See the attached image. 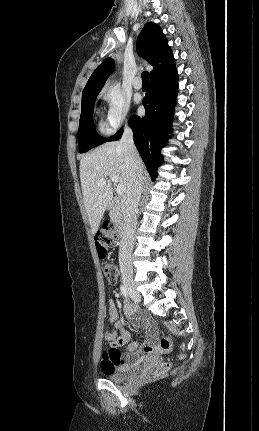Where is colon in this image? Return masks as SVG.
Listing matches in <instances>:
<instances>
[{
	"mask_svg": "<svg viewBox=\"0 0 259 431\" xmlns=\"http://www.w3.org/2000/svg\"><path fill=\"white\" fill-rule=\"evenodd\" d=\"M117 243V236L115 226L107 222L105 223L100 230L96 233L95 236V245L98 256L100 259H105L110 252L113 250ZM104 274L109 283H115L118 277V268L114 264H106L104 266ZM171 339L169 337H164L160 340L159 344L152 346H145V352L157 351V352H165L168 351L171 347ZM169 368L168 364H162L156 369L153 370L154 376L162 375Z\"/></svg>",
	"mask_w": 259,
	"mask_h": 431,
	"instance_id": "1",
	"label": "colon"
}]
</instances>
